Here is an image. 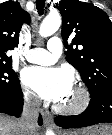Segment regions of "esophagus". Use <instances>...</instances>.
I'll list each match as a JSON object with an SVG mask.
<instances>
[{"label":"esophagus","instance_id":"obj_1","mask_svg":"<svg viewBox=\"0 0 112 135\" xmlns=\"http://www.w3.org/2000/svg\"><path fill=\"white\" fill-rule=\"evenodd\" d=\"M42 116H43V118H44L45 124H47V125H52V126L55 128V126L53 125L52 116H51L49 113H47V112H42Z\"/></svg>","mask_w":112,"mask_h":135}]
</instances>
